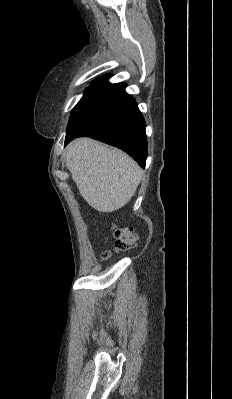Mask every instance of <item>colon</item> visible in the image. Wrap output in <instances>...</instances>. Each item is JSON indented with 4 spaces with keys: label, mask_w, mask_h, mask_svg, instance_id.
I'll list each match as a JSON object with an SVG mask.
<instances>
[{
    "label": "colon",
    "mask_w": 232,
    "mask_h": 399,
    "mask_svg": "<svg viewBox=\"0 0 232 399\" xmlns=\"http://www.w3.org/2000/svg\"><path fill=\"white\" fill-rule=\"evenodd\" d=\"M98 218H103V213H98ZM130 248H137V234L134 231L121 230V226H116L115 249H120V253H125V249Z\"/></svg>",
    "instance_id": "obj_1"
}]
</instances>
